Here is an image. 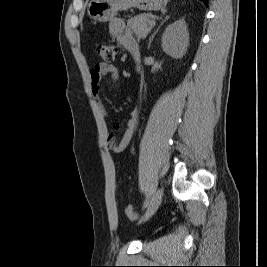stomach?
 Listing matches in <instances>:
<instances>
[{
    "mask_svg": "<svg viewBox=\"0 0 267 267\" xmlns=\"http://www.w3.org/2000/svg\"><path fill=\"white\" fill-rule=\"evenodd\" d=\"M169 0H91L87 5L89 17L98 22L112 20L118 11L138 8L143 11L164 9Z\"/></svg>",
    "mask_w": 267,
    "mask_h": 267,
    "instance_id": "stomach-1",
    "label": "stomach"
}]
</instances>
